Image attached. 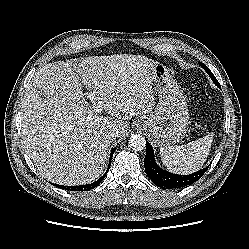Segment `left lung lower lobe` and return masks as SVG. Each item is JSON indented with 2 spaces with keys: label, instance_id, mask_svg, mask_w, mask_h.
I'll return each mask as SVG.
<instances>
[{
  "label": "left lung lower lobe",
  "instance_id": "left-lung-lower-lobe-1",
  "mask_svg": "<svg viewBox=\"0 0 249 249\" xmlns=\"http://www.w3.org/2000/svg\"><path fill=\"white\" fill-rule=\"evenodd\" d=\"M145 171L155 185L164 189L183 188L198 181L208 167L189 175H176L160 168L154 159L152 146L146 141V156L144 158Z\"/></svg>",
  "mask_w": 249,
  "mask_h": 249
}]
</instances>
